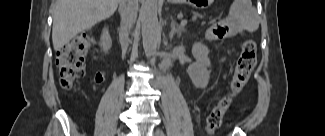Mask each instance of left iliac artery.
<instances>
[{
	"instance_id": "obj_1",
	"label": "left iliac artery",
	"mask_w": 325,
	"mask_h": 136,
	"mask_svg": "<svg viewBox=\"0 0 325 136\" xmlns=\"http://www.w3.org/2000/svg\"><path fill=\"white\" fill-rule=\"evenodd\" d=\"M160 135H161V136H164V133H163L162 131H160Z\"/></svg>"
}]
</instances>
